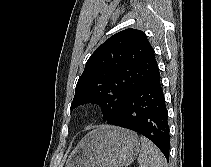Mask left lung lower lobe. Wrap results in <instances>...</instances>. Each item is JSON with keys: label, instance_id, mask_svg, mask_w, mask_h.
Here are the masks:
<instances>
[{"label": "left lung lower lobe", "instance_id": "left-lung-lower-lobe-1", "mask_svg": "<svg viewBox=\"0 0 211 167\" xmlns=\"http://www.w3.org/2000/svg\"><path fill=\"white\" fill-rule=\"evenodd\" d=\"M108 124L124 127L150 139L169 160L168 112L158 67L124 101Z\"/></svg>", "mask_w": 211, "mask_h": 167}]
</instances>
